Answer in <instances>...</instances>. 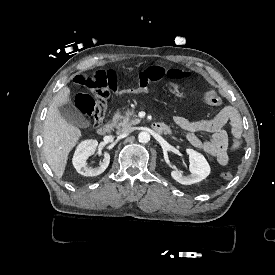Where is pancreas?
Segmentation results:
<instances>
[{"instance_id": "cf45deb5", "label": "pancreas", "mask_w": 275, "mask_h": 275, "mask_svg": "<svg viewBox=\"0 0 275 275\" xmlns=\"http://www.w3.org/2000/svg\"><path fill=\"white\" fill-rule=\"evenodd\" d=\"M112 120L117 127L123 128L131 127L141 122V120L137 118L135 111L130 110L123 113L120 109L114 113Z\"/></svg>"}]
</instances>
